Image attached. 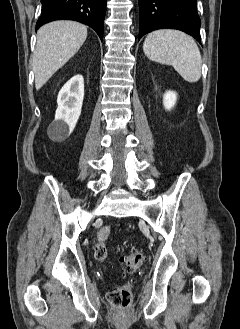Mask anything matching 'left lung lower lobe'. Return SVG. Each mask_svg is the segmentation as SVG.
<instances>
[{
	"label": "left lung lower lobe",
	"instance_id": "0a47b994",
	"mask_svg": "<svg viewBox=\"0 0 240 329\" xmlns=\"http://www.w3.org/2000/svg\"><path fill=\"white\" fill-rule=\"evenodd\" d=\"M140 10L139 39L157 29L181 30L199 43L201 20L197 0H138Z\"/></svg>",
	"mask_w": 240,
	"mask_h": 329
}]
</instances>
